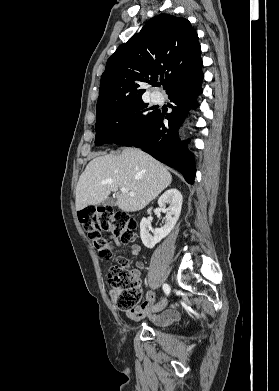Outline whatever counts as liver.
Segmentation results:
<instances>
[{"mask_svg": "<svg viewBox=\"0 0 279 391\" xmlns=\"http://www.w3.org/2000/svg\"><path fill=\"white\" fill-rule=\"evenodd\" d=\"M171 182V174L159 161L140 149L124 148L118 154L97 156L88 163L76 187V209L100 204L111 192L126 188L135 195L119 194L116 205L124 212H136Z\"/></svg>", "mask_w": 279, "mask_h": 391, "instance_id": "1", "label": "liver"}]
</instances>
